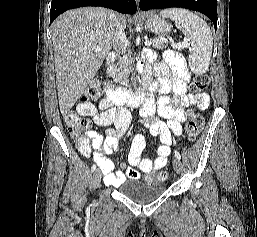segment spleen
<instances>
[{"instance_id": "3e777b00", "label": "spleen", "mask_w": 257, "mask_h": 237, "mask_svg": "<svg viewBox=\"0 0 257 237\" xmlns=\"http://www.w3.org/2000/svg\"><path fill=\"white\" fill-rule=\"evenodd\" d=\"M160 15L173 20L190 41L192 53L188 56V62L191 71L197 75L206 73L213 47L212 33L206 22L185 9H165Z\"/></svg>"}]
</instances>
